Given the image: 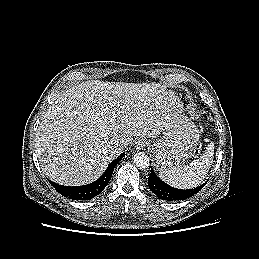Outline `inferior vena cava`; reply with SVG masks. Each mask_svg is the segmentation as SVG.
I'll return each mask as SVG.
<instances>
[{
  "label": "inferior vena cava",
  "mask_w": 259,
  "mask_h": 259,
  "mask_svg": "<svg viewBox=\"0 0 259 259\" xmlns=\"http://www.w3.org/2000/svg\"><path fill=\"white\" fill-rule=\"evenodd\" d=\"M126 143H116L113 147L114 149H117L118 151H123L126 148Z\"/></svg>",
  "instance_id": "inferior-vena-cava-1"
}]
</instances>
